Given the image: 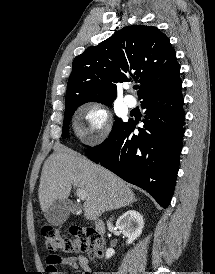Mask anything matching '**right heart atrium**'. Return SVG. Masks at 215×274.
Segmentation results:
<instances>
[{"label":"right heart atrium","instance_id":"right-heart-atrium-1","mask_svg":"<svg viewBox=\"0 0 215 274\" xmlns=\"http://www.w3.org/2000/svg\"><path fill=\"white\" fill-rule=\"evenodd\" d=\"M82 121L77 127L78 137L88 144H99L110 134L112 121L107 108L99 102H88L81 108Z\"/></svg>","mask_w":215,"mask_h":274}]
</instances>
